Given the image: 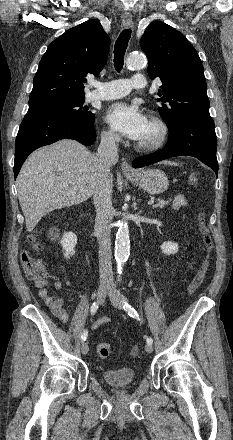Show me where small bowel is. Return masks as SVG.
<instances>
[{"label":"small bowel","instance_id":"1","mask_svg":"<svg viewBox=\"0 0 233 440\" xmlns=\"http://www.w3.org/2000/svg\"><path fill=\"white\" fill-rule=\"evenodd\" d=\"M187 205L188 202L183 195L179 194L174 197L173 208L179 209L182 207H187ZM35 286L38 288L39 297L46 303L52 314L61 322L67 323L69 316L67 310L65 309L64 299L60 296L51 295L46 281L43 285L35 283ZM53 287L56 291H61L63 288V283L58 280L53 284ZM109 322V317H100L92 324V329H96Z\"/></svg>","mask_w":233,"mask_h":440}]
</instances>
